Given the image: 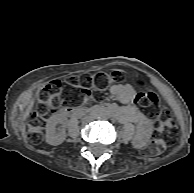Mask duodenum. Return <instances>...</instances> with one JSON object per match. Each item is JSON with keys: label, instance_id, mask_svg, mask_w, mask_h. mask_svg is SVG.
Returning a JSON list of instances; mask_svg holds the SVG:
<instances>
[{"label": "duodenum", "instance_id": "1", "mask_svg": "<svg viewBox=\"0 0 194 193\" xmlns=\"http://www.w3.org/2000/svg\"><path fill=\"white\" fill-rule=\"evenodd\" d=\"M62 112L65 115H68L70 117H76L79 116L81 114H84L87 112L86 109H82V108H78V107H66L62 110Z\"/></svg>", "mask_w": 194, "mask_h": 193}]
</instances>
